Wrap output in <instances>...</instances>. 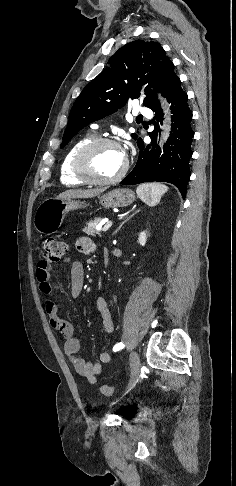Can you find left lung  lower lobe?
Wrapping results in <instances>:
<instances>
[{"label": "left lung lower lobe", "mask_w": 236, "mask_h": 486, "mask_svg": "<svg viewBox=\"0 0 236 486\" xmlns=\"http://www.w3.org/2000/svg\"><path fill=\"white\" fill-rule=\"evenodd\" d=\"M163 96L171 103L172 127L171 134L164 145L163 151L156 146V136L159 125L149 135L152 147L144 148L142 139L138 140L139 158L135 168L120 184L133 185L143 182L159 181L174 184L181 192L183 199L190 178L189 160L192 157L191 142L194 132L190 122L192 112L187 104V94L181 88L179 77H175L162 90ZM155 112L157 122L162 123L163 112L156 98L149 106ZM156 148V149H155Z\"/></svg>", "instance_id": "obj_1"}]
</instances>
